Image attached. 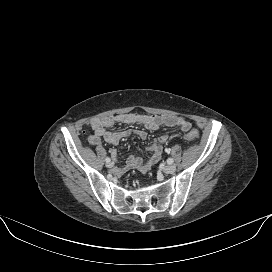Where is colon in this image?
<instances>
[{
  "label": "colon",
  "instance_id": "1",
  "mask_svg": "<svg viewBox=\"0 0 272 272\" xmlns=\"http://www.w3.org/2000/svg\"><path fill=\"white\" fill-rule=\"evenodd\" d=\"M188 141H195L199 138V133L196 130H190L184 135Z\"/></svg>",
  "mask_w": 272,
  "mask_h": 272
}]
</instances>
